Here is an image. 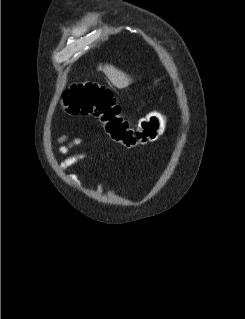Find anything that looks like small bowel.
<instances>
[{
	"label": "small bowel",
	"instance_id": "small-bowel-1",
	"mask_svg": "<svg viewBox=\"0 0 245 319\" xmlns=\"http://www.w3.org/2000/svg\"><path fill=\"white\" fill-rule=\"evenodd\" d=\"M82 143L81 138H75L69 142H67V136H62L56 140V144L59 146V152L62 155H65V159L62 162V167L67 168L77 164L78 162L87 158L86 154L78 152V153H71V151L78 147ZM70 179L75 180L74 175L69 176ZM96 193L104 192V187L102 183L97 184Z\"/></svg>",
	"mask_w": 245,
	"mask_h": 319
}]
</instances>
